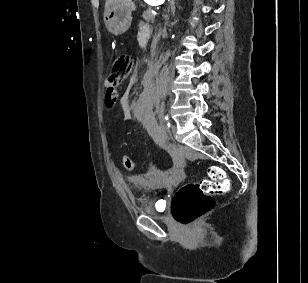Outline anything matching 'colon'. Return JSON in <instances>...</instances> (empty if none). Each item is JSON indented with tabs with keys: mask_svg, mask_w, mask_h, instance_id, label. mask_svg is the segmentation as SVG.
Here are the masks:
<instances>
[{
	"mask_svg": "<svg viewBox=\"0 0 308 283\" xmlns=\"http://www.w3.org/2000/svg\"><path fill=\"white\" fill-rule=\"evenodd\" d=\"M132 58L128 54H118L112 64L108 81L113 85H120L131 73ZM126 169L134 167L133 160L125 155L122 159ZM208 179L182 186L172 199V215L182 225H190L215 205V197L230 190V181L225 171L216 166L208 168Z\"/></svg>",
	"mask_w": 308,
	"mask_h": 283,
	"instance_id": "colon-1",
	"label": "colon"
}]
</instances>
